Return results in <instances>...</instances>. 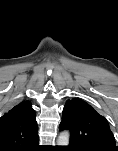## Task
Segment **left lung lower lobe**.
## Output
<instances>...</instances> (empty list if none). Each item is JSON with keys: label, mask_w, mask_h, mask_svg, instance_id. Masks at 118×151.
I'll use <instances>...</instances> for the list:
<instances>
[{"label": "left lung lower lobe", "mask_w": 118, "mask_h": 151, "mask_svg": "<svg viewBox=\"0 0 118 151\" xmlns=\"http://www.w3.org/2000/svg\"><path fill=\"white\" fill-rule=\"evenodd\" d=\"M66 149V151H77V149L72 145V144H70L69 146H67V147H65Z\"/></svg>", "instance_id": "0a47b994"}]
</instances>
